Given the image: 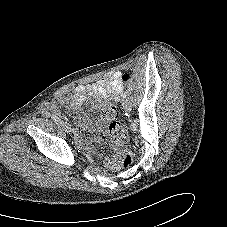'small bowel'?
Segmentation results:
<instances>
[{
  "instance_id": "small-bowel-1",
  "label": "small bowel",
  "mask_w": 227,
  "mask_h": 227,
  "mask_svg": "<svg viewBox=\"0 0 227 227\" xmlns=\"http://www.w3.org/2000/svg\"><path fill=\"white\" fill-rule=\"evenodd\" d=\"M122 73L119 71H111L105 77L100 80H97L91 84L87 85H78L74 88L72 94V101L75 105L81 104L87 97L93 98L99 103L100 109L101 103L104 99L109 97H114L122 90L123 92V82H122ZM65 102L64 97H56L50 104L44 109L45 114L49 115L52 113H58V108ZM73 134L77 140L81 139L80 134L76 129L73 130ZM96 144L102 146L104 142L97 138L92 140ZM91 141V142H92ZM107 166L112 169H117V164L114 161H106Z\"/></svg>"
}]
</instances>
